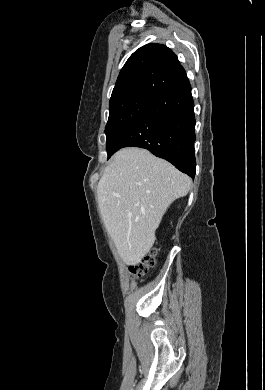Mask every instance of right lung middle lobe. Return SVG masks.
<instances>
[{
  "label": "right lung middle lobe",
  "instance_id": "obj_1",
  "mask_svg": "<svg viewBox=\"0 0 265 390\" xmlns=\"http://www.w3.org/2000/svg\"><path fill=\"white\" fill-rule=\"evenodd\" d=\"M154 99L150 96L137 95L109 105V119L105 127L108 159L116 152V144L126 128Z\"/></svg>",
  "mask_w": 265,
  "mask_h": 390
}]
</instances>
